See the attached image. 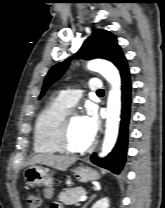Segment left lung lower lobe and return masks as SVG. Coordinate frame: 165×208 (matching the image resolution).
Instances as JSON below:
<instances>
[{
	"label": "left lung lower lobe",
	"mask_w": 165,
	"mask_h": 208,
	"mask_svg": "<svg viewBox=\"0 0 165 208\" xmlns=\"http://www.w3.org/2000/svg\"><path fill=\"white\" fill-rule=\"evenodd\" d=\"M117 68L120 71L122 80V110L118 141L113 151L107 157L99 159L96 155H92L91 161L115 174H120L126 162L132 101L130 73L125 57L119 61Z\"/></svg>",
	"instance_id": "left-lung-lower-lobe-1"
}]
</instances>
